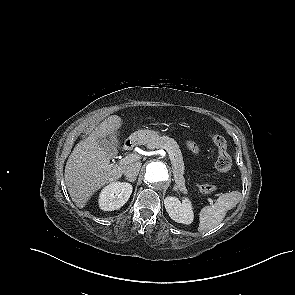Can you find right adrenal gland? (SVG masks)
<instances>
[{
  "label": "right adrenal gland",
  "instance_id": "right-adrenal-gland-1",
  "mask_svg": "<svg viewBox=\"0 0 295 295\" xmlns=\"http://www.w3.org/2000/svg\"><path fill=\"white\" fill-rule=\"evenodd\" d=\"M125 180L134 183V182L136 181V178H132V179H130V178H126Z\"/></svg>",
  "mask_w": 295,
  "mask_h": 295
}]
</instances>
